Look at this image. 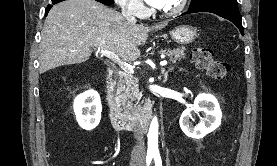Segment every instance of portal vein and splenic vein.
Returning a JSON list of instances; mask_svg holds the SVG:
<instances>
[{
  "label": "portal vein and splenic vein",
  "instance_id": "obj_1",
  "mask_svg": "<svg viewBox=\"0 0 277 166\" xmlns=\"http://www.w3.org/2000/svg\"><path fill=\"white\" fill-rule=\"evenodd\" d=\"M98 52H100L102 55H105L106 57L113 60L114 62L118 63L124 70L133 72V67L130 64L121 61L115 53L108 51V50H98ZM167 63L168 62L166 60H164V61L160 62V65L165 66V65H167Z\"/></svg>",
  "mask_w": 277,
  "mask_h": 166
}]
</instances>
